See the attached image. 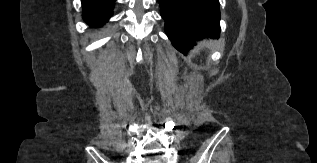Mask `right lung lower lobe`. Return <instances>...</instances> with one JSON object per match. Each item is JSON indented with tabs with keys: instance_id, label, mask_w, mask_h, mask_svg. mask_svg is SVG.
Instances as JSON below:
<instances>
[{
	"instance_id": "98d812e1",
	"label": "right lung lower lobe",
	"mask_w": 317,
	"mask_h": 163,
	"mask_svg": "<svg viewBox=\"0 0 317 163\" xmlns=\"http://www.w3.org/2000/svg\"><path fill=\"white\" fill-rule=\"evenodd\" d=\"M83 17L93 26H102L112 16L115 0H81Z\"/></svg>"
}]
</instances>
